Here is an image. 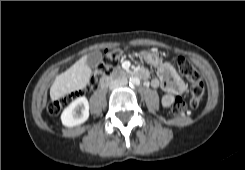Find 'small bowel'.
Listing matches in <instances>:
<instances>
[{
  "mask_svg": "<svg viewBox=\"0 0 245 170\" xmlns=\"http://www.w3.org/2000/svg\"><path fill=\"white\" fill-rule=\"evenodd\" d=\"M158 77L151 80V86L162 88L165 91L163 96V105L168 107L177 92L182 87L179 75L174 67L169 64H161L157 69Z\"/></svg>",
  "mask_w": 245,
  "mask_h": 170,
  "instance_id": "c3829d8e",
  "label": "small bowel"
}]
</instances>
